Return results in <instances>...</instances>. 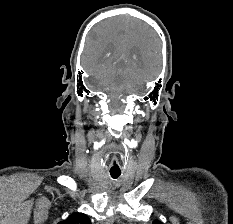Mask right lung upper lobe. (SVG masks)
<instances>
[{
	"instance_id": "obj_1",
	"label": "right lung upper lobe",
	"mask_w": 233,
	"mask_h": 224,
	"mask_svg": "<svg viewBox=\"0 0 233 224\" xmlns=\"http://www.w3.org/2000/svg\"><path fill=\"white\" fill-rule=\"evenodd\" d=\"M58 224H91L90 218L83 213H73Z\"/></svg>"
}]
</instances>
